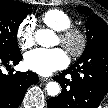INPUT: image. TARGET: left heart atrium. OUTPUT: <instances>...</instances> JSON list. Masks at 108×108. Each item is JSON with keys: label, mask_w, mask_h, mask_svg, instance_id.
<instances>
[{"label": "left heart atrium", "mask_w": 108, "mask_h": 108, "mask_svg": "<svg viewBox=\"0 0 108 108\" xmlns=\"http://www.w3.org/2000/svg\"><path fill=\"white\" fill-rule=\"evenodd\" d=\"M67 64V56L60 48H36L26 53L25 65L33 72L47 76Z\"/></svg>", "instance_id": "obj_1"}]
</instances>
